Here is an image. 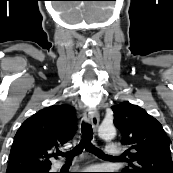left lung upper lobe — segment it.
I'll use <instances>...</instances> for the list:
<instances>
[{"label": "left lung upper lobe", "instance_id": "obj_1", "mask_svg": "<svg viewBox=\"0 0 173 173\" xmlns=\"http://www.w3.org/2000/svg\"><path fill=\"white\" fill-rule=\"evenodd\" d=\"M114 124L128 145L129 163L121 173H173L169 141L162 125L137 105L123 102L112 107Z\"/></svg>", "mask_w": 173, "mask_h": 173}]
</instances>
